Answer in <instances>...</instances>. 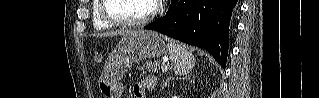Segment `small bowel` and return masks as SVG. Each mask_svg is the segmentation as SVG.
Wrapping results in <instances>:
<instances>
[{
	"label": "small bowel",
	"instance_id": "1",
	"mask_svg": "<svg viewBox=\"0 0 319 98\" xmlns=\"http://www.w3.org/2000/svg\"><path fill=\"white\" fill-rule=\"evenodd\" d=\"M156 83L154 76H148L143 82H137L134 84L133 91L136 98H145L146 92L151 90Z\"/></svg>",
	"mask_w": 319,
	"mask_h": 98
}]
</instances>
